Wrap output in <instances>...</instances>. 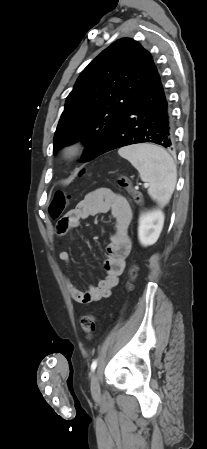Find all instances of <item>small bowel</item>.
Returning <instances> with one entry per match:
<instances>
[{"label": "small bowel", "mask_w": 207, "mask_h": 449, "mask_svg": "<svg viewBox=\"0 0 207 449\" xmlns=\"http://www.w3.org/2000/svg\"><path fill=\"white\" fill-rule=\"evenodd\" d=\"M98 213H110L114 220L113 232L107 246L105 276L98 286L90 287L86 291L80 289L71 279L66 278L71 296L76 302L84 305L108 297L112 289L117 286L131 251L132 209L122 195L108 188H100L88 193L74 209L59 220L57 225L58 233L65 235L76 229L81 220ZM59 258L66 265L71 262L70 254L67 251H61Z\"/></svg>", "instance_id": "small-bowel-1"}]
</instances>
